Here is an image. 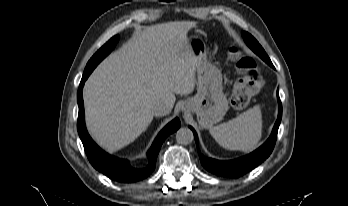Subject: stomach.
Here are the masks:
<instances>
[{"label": "stomach", "mask_w": 348, "mask_h": 206, "mask_svg": "<svg viewBox=\"0 0 348 206\" xmlns=\"http://www.w3.org/2000/svg\"><path fill=\"white\" fill-rule=\"evenodd\" d=\"M192 54L197 58V94L190 101V110L197 114L201 125L210 127L220 121L228 109L222 92L221 72L207 60V48L199 38L188 41Z\"/></svg>", "instance_id": "obj_1"}]
</instances>
